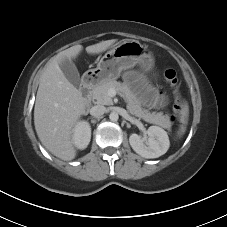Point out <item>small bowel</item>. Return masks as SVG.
Here are the masks:
<instances>
[{"label": "small bowel", "mask_w": 227, "mask_h": 227, "mask_svg": "<svg viewBox=\"0 0 227 227\" xmlns=\"http://www.w3.org/2000/svg\"><path fill=\"white\" fill-rule=\"evenodd\" d=\"M126 87L132 90L133 94L149 107H164L166 98L160 95L153 88L148 86L146 80L142 79L134 70H129L124 74Z\"/></svg>", "instance_id": "obj_1"}]
</instances>
